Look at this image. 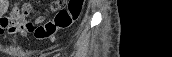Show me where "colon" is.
I'll list each match as a JSON object with an SVG mask.
<instances>
[{
  "label": "colon",
  "mask_w": 172,
  "mask_h": 57,
  "mask_svg": "<svg viewBox=\"0 0 172 57\" xmlns=\"http://www.w3.org/2000/svg\"><path fill=\"white\" fill-rule=\"evenodd\" d=\"M65 1L57 0L54 1L52 8L56 9L58 6L62 5ZM83 10V0H69L67 7L61 8L55 15L52 21L44 24V33L42 39H48L55 35V33L60 29H66L70 27L75 21L78 20ZM22 13L24 15H32V10L29 6H24L22 8Z\"/></svg>",
  "instance_id": "colon-1"
}]
</instances>
